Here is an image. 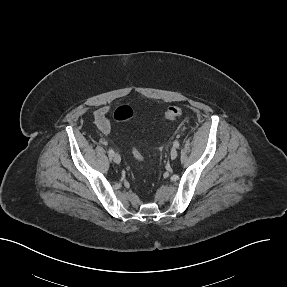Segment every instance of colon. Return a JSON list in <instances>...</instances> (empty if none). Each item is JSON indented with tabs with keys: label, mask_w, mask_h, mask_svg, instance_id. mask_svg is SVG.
I'll list each match as a JSON object with an SVG mask.
<instances>
[{
	"label": "colon",
	"mask_w": 287,
	"mask_h": 287,
	"mask_svg": "<svg viewBox=\"0 0 287 287\" xmlns=\"http://www.w3.org/2000/svg\"><path fill=\"white\" fill-rule=\"evenodd\" d=\"M183 109L180 106L174 105L168 107L164 113L162 114V119L164 121L170 122L174 121L178 117L182 115ZM135 113L133 109L130 106L127 105H122L119 106L115 111H114V119L118 122H125L134 117ZM132 156L136 160H141L140 154L133 149L132 150Z\"/></svg>",
	"instance_id": "obj_1"
}]
</instances>
